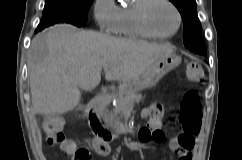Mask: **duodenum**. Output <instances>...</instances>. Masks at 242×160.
I'll use <instances>...</instances> for the list:
<instances>
[{"instance_id": "1", "label": "duodenum", "mask_w": 242, "mask_h": 160, "mask_svg": "<svg viewBox=\"0 0 242 160\" xmlns=\"http://www.w3.org/2000/svg\"><path fill=\"white\" fill-rule=\"evenodd\" d=\"M110 95V90L100 93L90 101L87 107V120L93 132V138L98 142H106L114 138L113 132L106 127L101 119V112L108 102Z\"/></svg>"}]
</instances>
